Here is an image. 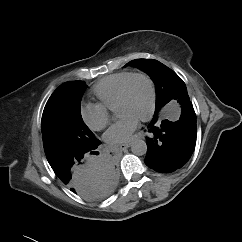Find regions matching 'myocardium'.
<instances>
[{"instance_id": "myocardium-1", "label": "myocardium", "mask_w": 242, "mask_h": 242, "mask_svg": "<svg viewBox=\"0 0 242 242\" xmlns=\"http://www.w3.org/2000/svg\"><path fill=\"white\" fill-rule=\"evenodd\" d=\"M138 77L144 78L147 81V83L149 85V89H150L149 108H148L147 112L142 117L139 118L141 121L145 122V121L150 120L153 117L155 109H156V101H157V91H156L155 82L152 79V77L145 72H135L128 77V79L125 81V83L123 84V86L121 88V91H120V94H119V97L117 100L116 108L126 101L128 92H129V88H130V84L135 78H138Z\"/></svg>"}]
</instances>
